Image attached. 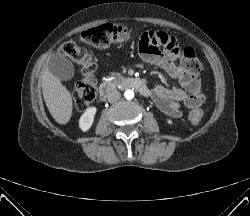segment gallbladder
Returning a JSON list of instances; mask_svg holds the SVG:
<instances>
[{
	"label": "gallbladder",
	"instance_id": "bac80fb5",
	"mask_svg": "<svg viewBox=\"0 0 250 216\" xmlns=\"http://www.w3.org/2000/svg\"><path fill=\"white\" fill-rule=\"evenodd\" d=\"M49 71L61 80H70L74 76L72 62L63 54L55 53L48 62Z\"/></svg>",
	"mask_w": 250,
	"mask_h": 216
}]
</instances>
